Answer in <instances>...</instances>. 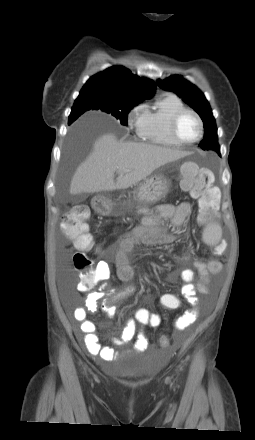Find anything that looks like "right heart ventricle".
<instances>
[{"label": "right heart ventricle", "instance_id": "obj_1", "mask_svg": "<svg viewBox=\"0 0 255 440\" xmlns=\"http://www.w3.org/2000/svg\"><path fill=\"white\" fill-rule=\"evenodd\" d=\"M185 108L183 101L172 93L159 96L145 108L141 124L137 129L139 136L150 143L166 147H179L170 130L174 114Z\"/></svg>", "mask_w": 255, "mask_h": 440}]
</instances>
